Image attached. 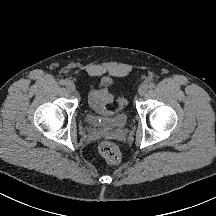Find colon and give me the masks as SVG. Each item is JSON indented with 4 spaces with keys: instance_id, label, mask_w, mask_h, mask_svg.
Returning a JSON list of instances; mask_svg holds the SVG:
<instances>
[{
    "instance_id": "obj_1",
    "label": "colon",
    "mask_w": 216,
    "mask_h": 216,
    "mask_svg": "<svg viewBox=\"0 0 216 216\" xmlns=\"http://www.w3.org/2000/svg\"><path fill=\"white\" fill-rule=\"evenodd\" d=\"M120 105H123V102H120ZM98 150L101 156L110 163H117L120 159L117 146L110 141H102Z\"/></svg>"
}]
</instances>
